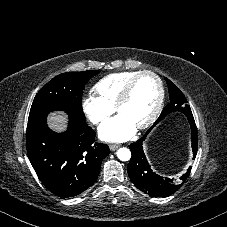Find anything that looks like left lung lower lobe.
<instances>
[{
  "label": "left lung lower lobe",
  "instance_id": "left-lung-lower-lobe-1",
  "mask_svg": "<svg viewBox=\"0 0 227 227\" xmlns=\"http://www.w3.org/2000/svg\"><path fill=\"white\" fill-rule=\"evenodd\" d=\"M188 121L192 131L191 142L193 158H195L198 146L197 128L193 116L188 117ZM147 134L148 132L144 137L129 146L132 156L128 164V174L133 184L141 191L153 197H166L176 192L183 185L190 174L191 167H189L187 172L177 180L164 178L156 174L151 169L143 152L142 145Z\"/></svg>",
  "mask_w": 227,
  "mask_h": 227
}]
</instances>
